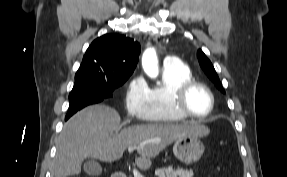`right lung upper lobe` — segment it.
Returning a JSON list of instances; mask_svg holds the SVG:
<instances>
[{
    "label": "right lung upper lobe",
    "instance_id": "obj_1",
    "mask_svg": "<svg viewBox=\"0 0 287 177\" xmlns=\"http://www.w3.org/2000/svg\"><path fill=\"white\" fill-rule=\"evenodd\" d=\"M140 44L118 34H105L94 40L83 57L81 70L112 83L129 78L138 62Z\"/></svg>",
    "mask_w": 287,
    "mask_h": 177
}]
</instances>
